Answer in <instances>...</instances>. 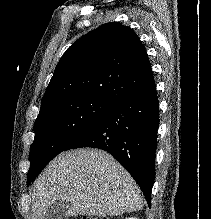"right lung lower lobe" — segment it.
<instances>
[{
  "label": "right lung lower lobe",
  "mask_w": 211,
  "mask_h": 219,
  "mask_svg": "<svg viewBox=\"0 0 211 219\" xmlns=\"http://www.w3.org/2000/svg\"><path fill=\"white\" fill-rule=\"evenodd\" d=\"M158 127L159 101L152 80L116 102L64 151L92 147L109 152L138 183L150 207Z\"/></svg>",
  "instance_id": "98d812e1"
}]
</instances>
